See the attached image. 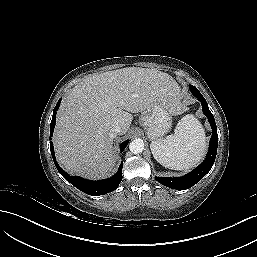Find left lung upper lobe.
<instances>
[{"label": "left lung upper lobe", "mask_w": 257, "mask_h": 257, "mask_svg": "<svg viewBox=\"0 0 257 257\" xmlns=\"http://www.w3.org/2000/svg\"><path fill=\"white\" fill-rule=\"evenodd\" d=\"M190 90H197L193 85H189Z\"/></svg>", "instance_id": "left-lung-upper-lobe-1"}]
</instances>
